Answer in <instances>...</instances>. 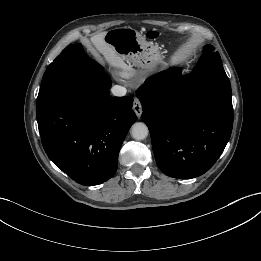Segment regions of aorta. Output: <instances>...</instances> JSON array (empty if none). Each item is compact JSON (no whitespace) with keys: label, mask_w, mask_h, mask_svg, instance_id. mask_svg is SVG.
I'll use <instances>...</instances> for the list:
<instances>
[{"label":"aorta","mask_w":261,"mask_h":261,"mask_svg":"<svg viewBox=\"0 0 261 261\" xmlns=\"http://www.w3.org/2000/svg\"><path fill=\"white\" fill-rule=\"evenodd\" d=\"M149 130L146 124L137 122L131 128V136L136 140H143L148 136Z\"/></svg>","instance_id":"aorta-1"}]
</instances>
